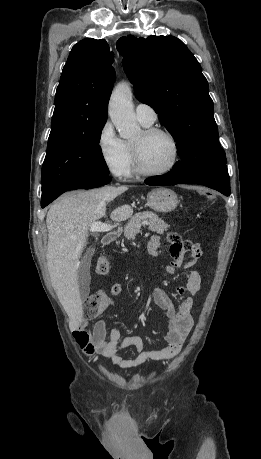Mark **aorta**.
Here are the masks:
<instances>
[{"mask_svg": "<svg viewBox=\"0 0 261 459\" xmlns=\"http://www.w3.org/2000/svg\"><path fill=\"white\" fill-rule=\"evenodd\" d=\"M108 113L119 135L125 139H132L140 133L132 103V90L127 83L119 84L112 92Z\"/></svg>", "mask_w": 261, "mask_h": 459, "instance_id": "762f6f07", "label": "aorta"}]
</instances>
